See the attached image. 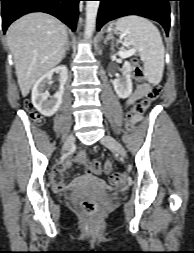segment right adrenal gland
I'll use <instances>...</instances> for the list:
<instances>
[{"label": "right adrenal gland", "instance_id": "2a0ac1e0", "mask_svg": "<svg viewBox=\"0 0 194 253\" xmlns=\"http://www.w3.org/2000/svg\"><path fill=\"white\" fill-rule=\"evenodd\" d=\"M68 50H69V40H68V37H67L66 47H65V52H64L63 58H65L66 52H67Z\"/></svg>", "mask_w": 194, "mask_h": 253}]
</instances>
